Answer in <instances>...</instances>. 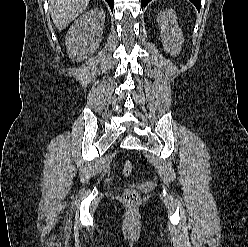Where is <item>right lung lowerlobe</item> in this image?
<instances>
[{
	"instance_id": "1",
	"label": "right lung lower lobe",
	"mask_w": 248,
	"mask_h": 247,
	"mask_svg": "<svg viewBox=\"0 0 248 247\" xmlns=\"http://www.w3.org/2000/svg\"><path fill=\"white\" fill-rule=\"evenodd\" d=\"M106 2H108L111 10L113 11V3H114V0H105Z\"/></svg>"
}]
</instances>
